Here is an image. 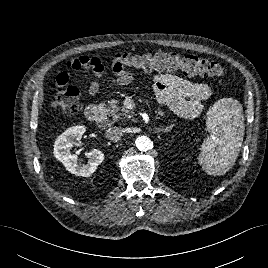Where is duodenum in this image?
I'll return each instance as SVG.
<instances>
[{"instance_id": "1", "label": "duodenum", "mask_w": 268, "mask_h": 268, "mask_svg": "<svg viewBox=\"0 0 268 268\" xmlns=\"http://www.w3.org/2000/svg\"><path fill=\"white\" fill-rule=\"evenodd\" d=\"M86 116L92 121H97L101 128L109 127L112 122V115L100 106H89L86 110Z\"/></svg>"}]
</instances>
